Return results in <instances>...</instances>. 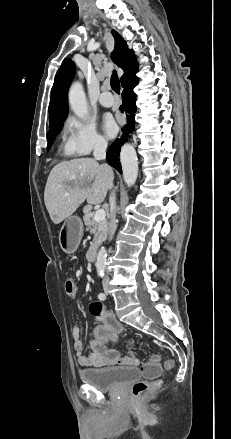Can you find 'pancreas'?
<instances>
[{
  "label": "pancreas",
  "instance_id": "pancreas-1",
  "mask_svg": "<svg viewBox=\"0 0 231 439\" xmlns=\"http://www.w3.org/2000/svg\"><path fill=\"white\" fill-rule=\"evenodd\" d=\"M83 220L86 230L89 231L90 234H93V242L90 248H96L107 238L108 222L106 219L100 222L94 221V213L89 209H86Z\"/></svg>",
  "mask_w": 231,
  "mask_h": 439
}]
</instances>
